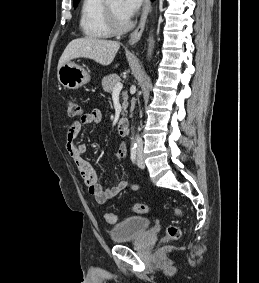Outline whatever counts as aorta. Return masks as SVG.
I'll return each instance as SVG.
<instances>
[{"instance_id":"aorta-1","label":"aorta","mask_w":259,"mask_h":283,"mask_svg":"<svg viewBox=\"0 0 259 283\" xmlns=\"http://www.w3.org/2000/svg\"><path fill=\"white\" fill-rule=\"evenodd\" d=\"M152 46H153V39L150 38L149 39V49H148L149 55L151 54Z\"/></svg>"}]
</instances>
